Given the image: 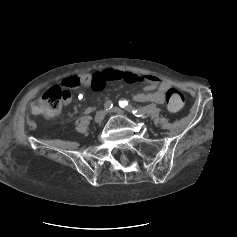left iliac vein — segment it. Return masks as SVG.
Listing matches in <instances>:
<instances>
[{
	"label": "left iliac vein",
	"mask_w": 237,
	"mask_h": 237,
	"mask_svg": "<svg viewBox=\"0 0 237 237\" xmlns=\"http://www.w3.org/2000/svg\"><path fill=\"white\" fill-rule=\"evenodd\" d=\"M110 112L116 115H121V116L125 115V113L120 108H117V107L112 108Z\"/></svg>",
	"instance_id": "1"
}]
</instances>
